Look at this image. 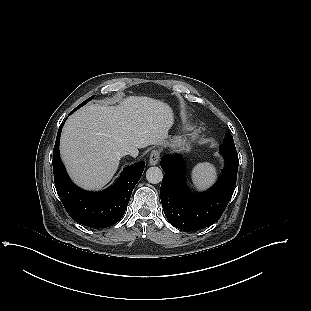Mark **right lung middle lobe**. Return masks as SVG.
Here are the masks:
<instances>
[{"mask_svg":"<svg viewBox=\"0 0 311 311\" xmlns=\"http://www.w3.org/2000/svg\"><path fill=\"white\" fill-rule=\"evenodd\" d=\"M95 96V95H94ZM94 96L90 97L89 99H87L86 101H84L83 103H81L75 110H77L78 108H80L81 106H83L84 104H86L88 101H90L92 98H94Z\"/></svg>","mask_w":311,"mask_h":311,"instance_id":"1","label":"right lung middle lobe"}]
</instances>
